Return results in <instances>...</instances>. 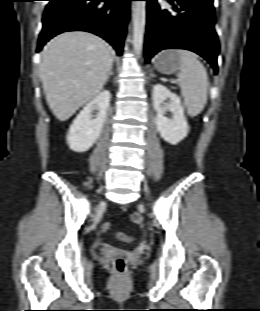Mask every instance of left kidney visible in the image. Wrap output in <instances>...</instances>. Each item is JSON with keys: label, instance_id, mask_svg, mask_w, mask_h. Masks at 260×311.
I'll return each instance as SVG.
<instances>
[{"label": "left kidney", "instance_id": "left-kidney-1", "mask_svg": "<svg viewBox=\"0 0 260 311\" xmlns=\"http://www.w3.org/2000/svg\"><path fill=\"white\" fill-rule=\"evenodd\" d=\"M168 98L170 103L167 105V109L173 113L171 119L164 116L166 108L162 106ZM152 100L153 108L157 113L155 118L157 131L166 142L172 145L178 144L189 132V126L179 96L163 85L157 84L153 87Z\"/></svg>", "mask_w": 260, "mask_h": 311}]
</instances>
